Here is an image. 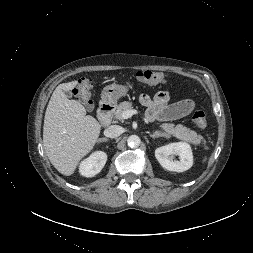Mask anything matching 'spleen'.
Returning <instances> with one entry per match:
<instances>
[{"instance_id": "obj_1", "label": "spleen", "mask_w": 253, "mask_h": 253, "mask_svg": "<svg viewBox=\"0 0 253 253\" xmlns=\"http://www.w3.org/2000/svg\"><path fill=\"white\" fill-rule=\"evenodd\" d=\"M204 162L206 161V157L204 158V160H203Z\"/></svg>"}]
</instances>
